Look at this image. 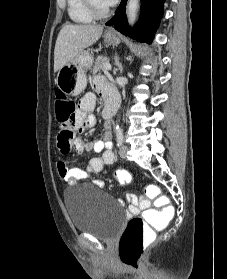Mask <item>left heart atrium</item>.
Returning <instances> with one entry per match:
<instances>
[{
	"instance_id": "1",
	"label": "left heart atrium",
	"mask_w": 227,
	"mask_h": 279,
	"mask_svg": "<svg viewBox=\"0 0 227 279\" xmlns=\"http://www.w3.org/2000/svg\"><path fill=\"white\" fill-rule=\"evenodd\" d=\"M109 6L113 5L116 0H105Z\"/></svg>"
}]
</instances>
